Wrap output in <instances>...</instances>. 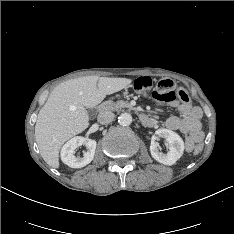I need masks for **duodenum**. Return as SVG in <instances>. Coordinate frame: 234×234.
<instances>
[{
    "instance_id": "duodenum-1",
    "label": "duodenum",
    "mask_w": 234,
    "mask_h": 234,
    "mask_svg": "<svg viewBox=\"0 0 234 234\" xmlns=\"http://www.w3.org/2000/svg\"><path fill=\"white\" fill-rule=\"evenodd\" d=\"M109 107H110V105H109L108 103H106V104H103V105L101 106L100 110H101V111H107V110L109 109ZM140 118H141V121H142L143 123H146V122L148 121V117L145 116V115H141Z\"/></svg>"
}]
</instances>
